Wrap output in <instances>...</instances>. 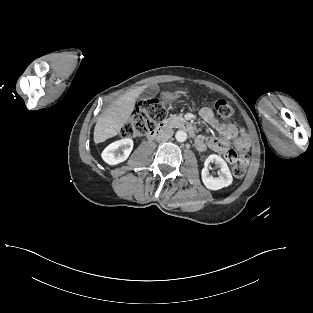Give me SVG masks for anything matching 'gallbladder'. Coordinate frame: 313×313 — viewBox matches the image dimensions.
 I'll return each instance as SVG.
<instances>
[{
  "label": "gallbladder",
  "instance_id": "obj_1",
  "mask_svg": "<svg viewBox=\"0 0 313 313\" xmlns=\"http://www.w3.org/2000/svg\"><path fill=\"white\" fill-rule=\"evenodd\" d=\"M157 91V87L156 86H150L148 87L145 92H146V96H151L154 95Z\"/></svg>",
  "mask_w": 313,
  "mask_h": 313
}]
</instances>
